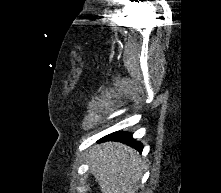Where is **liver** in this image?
Listing matches in <instances>:
<instances>
[{
  "mask_svg": "<svg viewBox=\"0 0 221 193\" xmlns=\"http://www.w3.org/2000/svg\"><path fill=\"white\" fill-rule=\"evenodd\" d=\"M91 172L102 193H136L145 169L138 152L119 142L90 149Z\"/></svg>",
  "mask_w": 221,
  "mask_h": 193,
  "instance_id": "liver-1",
  "label": "liver"
}]
</instances>
